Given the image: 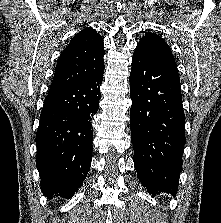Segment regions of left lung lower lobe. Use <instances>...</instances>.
Returning a JSON list of instances; mask_svg holds the SVG:
<instances>
[{"mask_svg": "<svg viewBox=\"0 0 221 223\" xmlns=\"http://www.w3.org/2000/svg\"><path fill=\"white\" fill-rule=\"evenodd\" d=\"M134 165L149 193L178 190L185 116L176 63L135 50L130 73Z\"/></svg>", "mask_w": 221, "mask_h": 223, "instance_id": "left-lung-lower-lobe-1", "label": "left lung lower lobe"}]
</instances>
